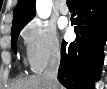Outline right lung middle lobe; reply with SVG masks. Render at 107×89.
Returning a JSON list of instances; mask_svg holds the SVG:
<instances>
[{
  "label": "right lung middle lobe",
  "mask_w": 107,
  "mask_h": 89,
  "mask_svg": "<svg viewBox=\"0 0 107 89\" xmlns=\"http://www.w3.org/2000/svg\"><path fill=\"white\" fill-rule=\"evenodd\" d=\"M24 27L23 26H19V27H15L11 29V43H12V49L14 50V52H16V43H17V39H18V35L20 33V30Z\"/></svg>",
  "instance_id": "right-lung-middle-lobe-1"
}]
</instances>
